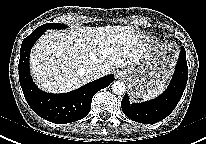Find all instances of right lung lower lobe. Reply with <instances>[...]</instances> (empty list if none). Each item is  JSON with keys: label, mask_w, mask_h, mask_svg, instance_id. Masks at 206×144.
<instances>
[{"label": "right lung lower lobe", "mask_w": 206, "mask_h": 144, "mask_svg": "<svg viewBox=\"0 0 206 144\" xmlns=\"http://www.w3.org/2000/svg\"><path fill=\"white\" fill-rule=\"evenodd\" d=\"M45 31L36 28L22 42L18 69L23 94L32 110L50 122L65 124L80 120L88 115L95 93L109 86L114 76L107 75L65 94L43 92L32 81L29 56L32 46Z\"/></svg>", "instance_id": "98d812e1"}]
</instances>
